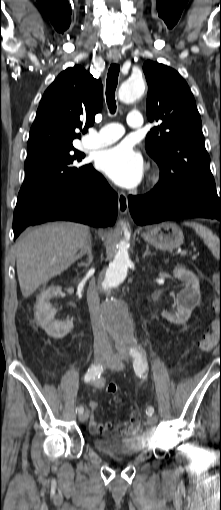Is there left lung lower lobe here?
<instances>
[{"label": "left lung lower lobe", "mask_w": 221, "mask_h": 510, "mask_svg": "<svg viewBox=\"0 0 221 510\" xmlns=\"http://www.w3.org/2000/svg\"><path fill=\"white\" fill-rule=\"evenodd\" d=\"M128 199L131 215L139 225L194 217L218 219L221 224V193L216 191L162 192L155 186L146 195Z\"/></svg>", "instance_id": "0a47b994"}]
</instances>
